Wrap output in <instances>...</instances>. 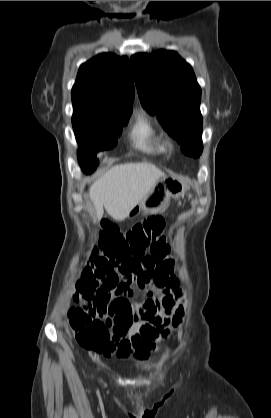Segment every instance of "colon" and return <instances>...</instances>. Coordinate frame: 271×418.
I'll return each mask as SVG.
<instances>
[{
  "label": "colon",
  "mask_w": 271,
  "mask_h": 418,
  "mask_svg": "<svg viewBox=\"0 0 271 418\" xmlns=\"http://www.w3.org/2000/svg\"><path fill=\"white\" fill-rule=\"evenodd\" d=\"M164 227V220L158 216H151L146 220L135 224L126 232H121L116 226L105 223L100 233L98 247H95L92 256L96 257L98 249L102 250L104 257L118 262H130L138 260L143 255H149V248L160 237ZM168 249V247H167ZM89 283L92 279L89 278ZM95 293L85 291L75 294V301L80 305L68 311L70 325L75 333L78 343L86 349L100 350L107 346L111 340L109 328L105 323H97L96 315L90 314L89 308L84 309L81 304L84 300L94 301ZM91 304H89L90 307ZM137 314H142L138 312ZM179 322V314L173 320ZM146 332L145 329H143Z\"/></svg>",
  "instance_id": "colon-1"
}]
</instances>
